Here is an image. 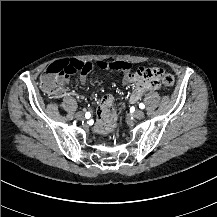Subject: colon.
<instances>
[{"label": "colon", "mask_w": 217, "mask_h": 217, "mask_svg": "<svg viewBox=\"0 0 217 217\" xmlns=\"http://www.w3.org/2000/svg\"><path fill=\"white\" fill-rule=\"evenodd\" d=\"M94 68L107 69L110 71H126L131 68L127 61H95L93 63H80L75 56H69L67 59H61L46 67L40 78V87L51 97H58L67 86V79L64 75L76 73L87 74ZM164 72V69L157 67H137L134 78L142 88H155L159 85L158 75ZM164 85L171 87L175 79L169 74L163 77Z\"/></svg>", "instance_id": "colon-1"}]
</instances>
